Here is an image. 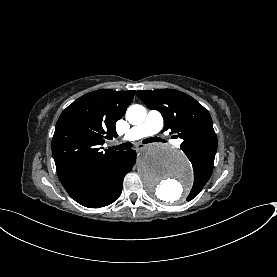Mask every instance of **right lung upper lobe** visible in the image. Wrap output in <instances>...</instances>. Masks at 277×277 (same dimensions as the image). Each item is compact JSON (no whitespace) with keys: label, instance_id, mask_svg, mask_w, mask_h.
Segmentation results:
<instances>
[{"label":"right lung upper lobe","instance_id":"cb5924a9","mask_svg":"<svg viewBox=\"0 0 277 277\" xmlns=\"http://www.w3.org/2000/svg\"><path fill=\"white\" fill-rule=\"evenodd\" d=\"M134 94L135 91L110 89L93 91L78 98L61 113L52 139V154L64 188L102 161L120 153L100 149L104 138L117 136L115 123L125 114Z\"/></svg>","mask_w":277,"mask_h":277}]
</instances>
